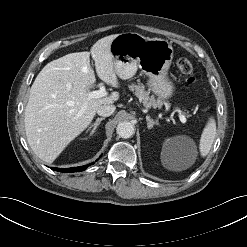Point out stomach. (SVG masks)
<instances>
[{
    "instance_id": "stomach-1",
    "label": "stomach",
    "mask_w": 247,
    "mask_h": 247,
    "mask_svg": "<svg viewBox=\"0 0 247 247\" xmlns=\"http://www.w3.org/2000/svg\"><path fill=\"white\" fill-rule=\"evenodd\" d=\"M115 73L121 79L132 78L137 69L149 77L148 87L161 101L170 99L175 86L168 78L173 47L160 38H146L138 33L117 34L110 45Z\"/></svg>"
}]
</instances>
